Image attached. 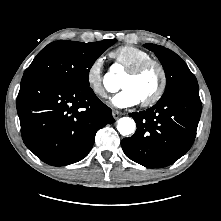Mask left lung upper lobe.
I'll list each match as a JSON object with an SVG mask.
<instances>
[{"label": "left lung upper lobe", "mask_w": 221, "mask_h": 221, "mask_svg": "<svg viewBox=\"0 0 221 221\" xmlns=\"http://www.w3.org/2000/svg\"><path fill=\"white\" fill-rule=\"evenodd\" d=\"M160 60L166 74V89L161 99L183 90L199 91L194 74L186 63L173 51L156 44H145Z\"/></svg>", "instance_id": "obj_1"}]
</instances>
